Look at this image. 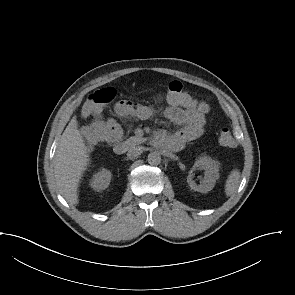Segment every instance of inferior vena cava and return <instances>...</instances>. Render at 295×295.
Segmentation results:
<instances>
[{
	"label": "inferior vena cava",
	"instance_id": "1",
	"mask_svg": "<svg viewBox=\"0 0 295 295\" xmlns=\"http://www.w3.org/2000/svg\"><path fill=\"white\" fill-rule=\"evenodd\" d=\"M144 151V147L142 146H136V147H131L128 150V156L130 157H138L141 155V153Z\"/></svg>",
	"mask_w": 295,
	"mask_h": 295
}]
</instances>
